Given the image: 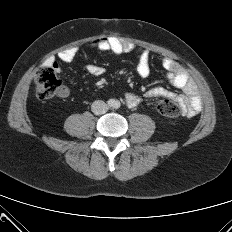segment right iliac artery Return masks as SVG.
I'll use <instances>...</instances> for the list:
<instances>
[{
    "label": "right iliac artery",
    "instance_id": "82829eb1",
    "mask_svg": "<svg viewBox=\"0 0 232 232\" xmlns=\"http://www.w3.org/2000/svg\"><path fill=\"white\" fill-rule=\"evenodd\" d=\"M112 104H113V101H112V100H109V101H108V105H109V106H112Z\"/></svg>",
    "mask_w": 232,
    "mask_h": 232
}]
</instances>
